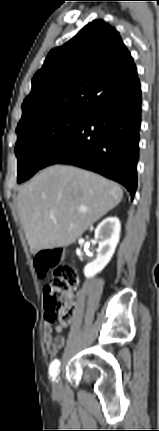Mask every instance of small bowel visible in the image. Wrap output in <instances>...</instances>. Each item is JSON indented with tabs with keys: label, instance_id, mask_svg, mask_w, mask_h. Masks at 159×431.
Segmentation results:
<instances>
[{
	"label": "small bowel",
	"instance_id": "obj_1",
	"mask_svg": "<svg viewBox=\"0 0 159 431\" xmlns=\"http://www.w3.org/2000/svg\"><path fill=\"white\" fill-rule=\"evenodd\" d=\"M73 295L71 293L68 294V301L72 303ZM67 325L65 322L58 324L56 326H52L50 321H46L43 328V338L44 343L47 348V351L51 355H55L60 349L65 345L66 339L63 335ZM53 332L56 333V336H53Z\"/></svg>",
	"mask_w": 159,
	"mask_h": 431
}]
</instances>
